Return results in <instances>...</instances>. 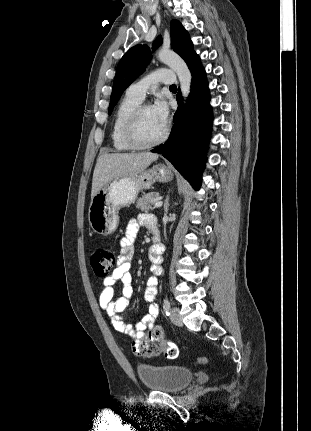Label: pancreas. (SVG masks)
<instances>
[{
	"label": "pancreas",
	"mask_w": 311,
	"mask_h": 431,
	"mask_svg": "<svg viewBox=\"0 0 311 431\" xmlns=\"http://www.w3.org/2000/svg\"><path fill=\"white\" fill-rule=\"evenodd\" d=\"M159 196V192H150V194H145L142 198H138L136 204H134V208H138L141 212H150L153 210L151 204H154L152 200Z\"/></svg>",
	"instance_id": "cf45deb5"
}]
</instances>
